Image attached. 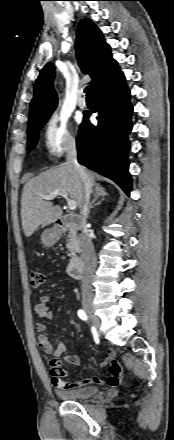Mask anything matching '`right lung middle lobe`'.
<instances>
[{
    "instance_id": "obj_1",
    "label": "right lung middle lobe",
    "mask_w": 174,
    "mask_h": 440,
    "mask_svg": "<svg viewBox=\"0 0 174 440\" xmlns=\"http://www.w3.org/2000/svg\"><path fill=\"white\" fill-rule=\"evenodd\" d=\"M47 120L40 121L35 123L34 125L29 126L28 133V143H27V151H30L36 146L38 141V131L44 126Z\"/></svg>"
}]
</instances>
